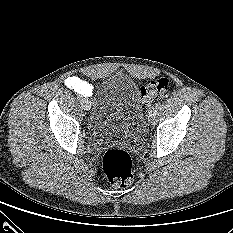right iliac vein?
<instances>
[{
  "label": "right iliac vein",
  "instance_id": "63e3f726",
  "mask_svg": "<svg viewBox=\"0 0 233 233\" xmlns=\"http://www.w3.org/2000/svg\"><path fill=\"white\" fill-rule=\"evenodd\" d=\"M81 105L85 110H89L90 106H91L88 99H83L82 102H81Z\"/></svg>",
  "mask_w": 233,
  "mask_h": 233
}]
</instances>
